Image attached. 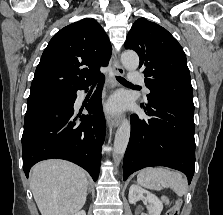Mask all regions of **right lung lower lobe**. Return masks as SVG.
Here are the masks:
<instances>
[{"label": "right lung lower lobe", "mask_w": 223, "mask_h": 215, "mask_svg": "<svg viewBox=\"0 0 223 215\" xmlns=\"http://www.w3.org/2000/svg\"><path fill=\"white\" fill-rule=\"evenodd\" d=\"M97 91L86 109L93 115L74 114V96L66 101L27 110L22 135L23 170L26 177L30 168L45 159L71 161L90 173L96 181L100 171L101 146L105 138V118L102 112L101 75ZM90 85V84H89ZM80 89H88V86ZM82 120L78 125L76 120Z\"/></svg>", "instance_id": "right-lung-lower-lobe-1"}]
</instances>
